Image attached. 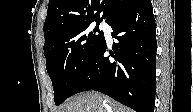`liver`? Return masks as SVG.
I'll use <instances>...</instances> for the list:
<instances>
[{
  "mask_svg": "<svg viewBox=\"0 0 193 112\" xmlns=\"http://www.w3.org/2000/svg\"><path fill=\"white\" fill-rule=\"evenodd\" d=\"M58 112H132L96 92L81 93L64 103Z\"/></svg>",
  "mask_w": 193,
  "mask_h": 112,
  "instance_id": "liver-1",
  "label": "liver"
}]
</instances>
